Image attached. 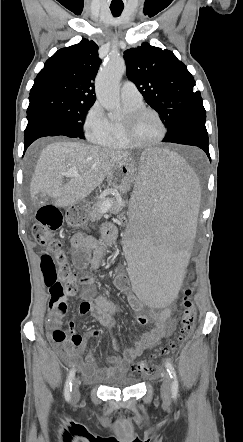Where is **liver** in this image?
<instances>
[{
	"instance_id": "6515ba94",
	"label": "liver",
	"mask_w": 243,
	"mask_h": 442,
	"mask_svg": "<svg viewBox=\"0 0 243 442\" xmlns=\"http://www.w3.org/2000/svg\"><path fill=\"white\" fill-rule=\"evenodd\" d=\"M129 153L101 148L82 142L59 141L48 144L41 152L33 174L30 195L43 193L54 198L58 208L72 206L102 184L111 169L128 158ZM76 167L78 177L64 184L63 173Z\"/></svg>"
}]
</instances>
